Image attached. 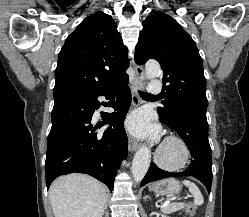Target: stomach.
<instances>
[{
    "instance_id": "stomach-1",
    "label": "stomach",
    "mask_w": 249,
    "mask_h": 217,
    "mask_svg": "<svg viewBox=\"0 0 249 217\" xmlns=\"http://www.w3.org/2000/svg\"><path fill=\"white\" fill-rule=\"evenodd\" d=\"M149 190L159 196H174L180 193L181 184L174 178H168L152 183Z\"/></svg>"
}]
</instances>
